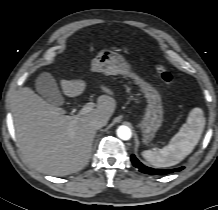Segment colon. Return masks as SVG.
<instances>
[{
	"label": "colon",
	"mask_w": 218,
	"mask_h": 210,
	"mask_svg": "<svg viewBox=\"0 0 218 210\" xmlns=\"http://www.w3.org/2000/svg\"><path fill=\"white\" fill-rule=\"evenodd\" d=\"M155 72L164 86L169 87L171 85L173 76L163 66H157Z\"/></svg>",
	"instance_id": "5ec220e1"
}]
</instances>
